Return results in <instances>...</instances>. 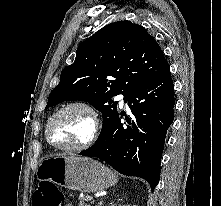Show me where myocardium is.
Masks as SVG:
<instances>
[{
    "label": "myocardium",
    "instance_id": "1",
    "mask_svg": "<svg viewBox=\"0 0 221 206\" xmlns=\"http://www.w3.org/2000/svg\"><path fill=\"white\" fill-rule=\"evenodd\" d=\"M72 109H80V110L84 111L89 116L90 123H91V129H90L89 136L81 143L75 144V145L55 144L50 137L51 125L57 117H59L61 114L65 113L66 111L72 110ZM99 132H100V121H99L98 114H97L96 110L93 108V106H91L89 103H87L85 101H71V102H68V103L62 105L60 108H58L57 110H55L52 113V115L49 117V119L46 123V127H45V137H46L47 142L51 146H53L54 148H56L58 150H62V151L79 152V151H83V150L88 149L97 140Z\"/></svg>",
    "mask_w": 221,
    "mask_h": 206
}]
</instances>
